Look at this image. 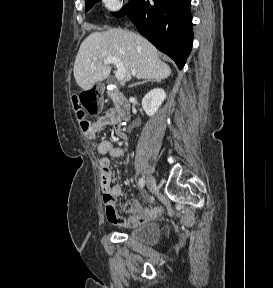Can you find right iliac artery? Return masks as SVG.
<instances>
[{"label":"right iliac artery","mask_w":273,"mask_h":288,"mask_svg":"<svg viewBox=\"0 0 273 288\" xmlns=\"http://www.w3.org/2000/svg\"><path fill=\"white\" fill-rule=\"evenodd\" d=\"M138 184H139V186H140L141 188H143L144 185H145V180H144L143 178H140V179L138 180Z\"/></svg>","instance_id":"obj_1"}]
</instances>
